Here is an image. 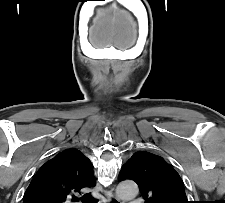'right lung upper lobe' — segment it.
Masks as SVG:
<instances>
[{
    "label": "right lung upper lobe",
    "mask_w": 225,
    "mask_h": 203,
    "mask_svg": "<svg viewBox=\"0 0 225 203\" xmlns=\"http://www.w3.org/2000/svg\"><path fill=\"white\" fill-rule=\"evenodd\" d=\"M91 161L66 149L47 161L26 189L23 203H69L74 194L96 185Z\"/></svg>",
    "instance_id": "1"
}]
</instances>
